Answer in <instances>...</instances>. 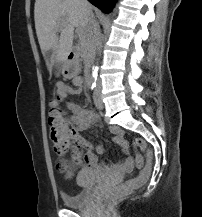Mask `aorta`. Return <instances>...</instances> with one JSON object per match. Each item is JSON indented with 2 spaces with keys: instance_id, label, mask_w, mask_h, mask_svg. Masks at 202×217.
<instances>
[{
  "instance_id": "1",
  "label": "aorta",
  "mask_w": 202,
  "mask_h": 217,
  "mask_svg": "<svg viewBox=\"0 0 202 217\" xmlns=\"http://www.w3.org/2000/svg\"><path fill=\"white\" fill-rule=\"evenodd\" d=\"M96 71H97V67H95V69H94V74H95Z\"/></svg>"
}]
</instances>
